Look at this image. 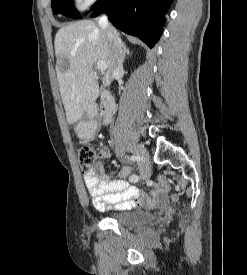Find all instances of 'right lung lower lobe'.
Wrapping results in <instances>:
<instances>
[{
	"instance_id": "98d812e1",
	"label": "right lung lower lobe",
	"mask_w": 247,
	"mask_h": 275,
	"mask_svg": "<svg viewBox=\"0 0 247 275\" xmlns=\"http://www.w3.org/2000/svg\"><path fill=\"white\" fill-rule=\"evenodd\" d=\"M173 0H105L92 13L108 15L110 22L123 32L137 36L150 48L159 40L165 22V12Z\"/></svg>"
}]
</instances>
